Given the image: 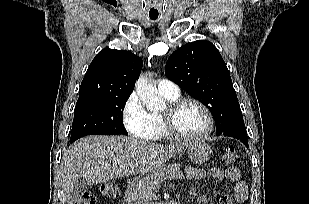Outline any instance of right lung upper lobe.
I'll list each match as a JSON object with an SVG mask.
<instances>
[{
	"label": "right lung upper lobe",
	"instance_id": "obj_1",
	"mask_svg": "<svg viewBox=\"0 0 309 204\" xmlns=\"http://www.w3.org/2000/svg\"><path fill=\"white\" fill-rule=\"evenodd\" d=\"M142 65V59L129 51L104 48L95 56L82 80L77 103L130 96Z\"/></svg>",
	"mask_w": 309,
	"mask_h": 204
}]
</instances>
